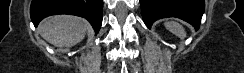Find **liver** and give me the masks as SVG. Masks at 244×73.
<instances>
[{
	"label": "liver",
	"mask_w": 244,
	"mask_h": 73,
	"mask_svg": "<svg viewBox=\"0 0 244 73\" xmlns=\"http://www.w3.org/2000/svg\"><path fill=\"white\" fill-rule=\"evenodd\" d=\"M88 22L80 17L55 15L44 19L39 30L41 36L57 47H71L82 41Z\"/></svg>",
	"instance_id": "1"
}]
</instances>
